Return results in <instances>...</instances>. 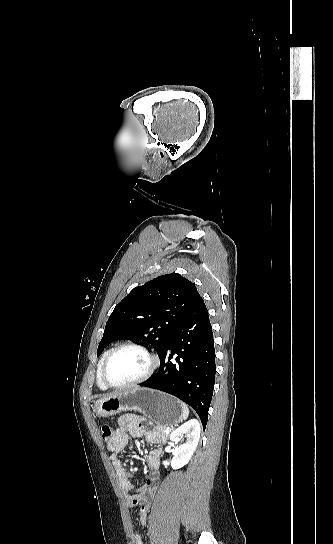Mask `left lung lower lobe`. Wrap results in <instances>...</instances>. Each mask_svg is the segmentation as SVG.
<instances>
[{"mask_svg":"<svg viewBox=\"0 0 333 544\" xmlns=\"http://www.w3.org/2000/svg\"><path fill=\"white\" fill-rule=\"evenodd\" d=\"M159 358L158 372L140 386L181 399L197 412L205 428L216 365L212 327L201 297L181 319Z\"/></svg>","mask_w":333,"mask_h":544,"instance_id":"1","label":"left lung lower lobe"}]
</instances>
